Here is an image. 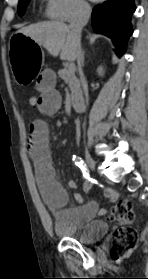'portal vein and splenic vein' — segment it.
I'll list each match as a JSON object with an SVG mask.
<instances>
[{"mask_svg":"<svg viewBox=\"0 0 148 279\" xmlns=\"http://www.w3.org/2000/svg\"><path fill=\"white\" fill-rule=\"evenodd\" d=\"M70 72H74L75 71V65L73 63H71L68 67Z\"/></svg>","mask_w":148,"mask_h":279,"instance_id":"portal-vein-and-splenic-vein-1","label":"portal vein and splenic vein"}]
</instances>
